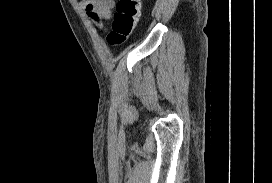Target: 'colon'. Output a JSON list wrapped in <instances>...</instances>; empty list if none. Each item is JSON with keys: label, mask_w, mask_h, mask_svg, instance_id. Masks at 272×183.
Instances as JSON below:
<instances>
[{"label": "colon", "mask_w": 272, "mask_h": 183, "mask_svg": "<svg viewBox=\"0 0 272 183\" xmlns=\"http://www.w3.org/2000/svg\"><path fill=\"white\" fill-rule=\"evenodd\" d=\"M143 5L140 0H118L108 41L111 45H121L136 28Z\"/></svg>", "instance_id": "5ec220e1"}]
</instances>
